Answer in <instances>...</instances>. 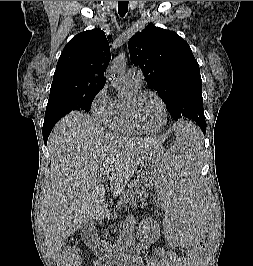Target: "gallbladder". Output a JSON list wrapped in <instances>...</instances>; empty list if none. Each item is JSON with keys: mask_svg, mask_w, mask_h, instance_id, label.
I'll use <instances>...</instances> for the list:
<instances>
[{"mask_svg": "<svg viewBox=\"0 0 253 266\" xmlns=\"http://www.w3.org/2000/svg\"><path fill=\"white\" fill-rule=\"evenodd\" d=\"M89 229H91V224H86L85 226H83L81 229V235L84 236L85 232Z\"/></svg>", "mask_w": 253, "mask_h": 266, "instance_id": "bac80fb5", "label": "gallbladder"}]
</instances>
